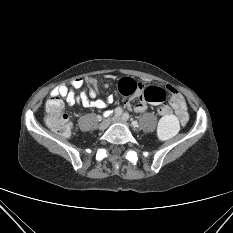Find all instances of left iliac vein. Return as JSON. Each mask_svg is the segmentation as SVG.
<instances>
[{"mask_svg": "<svg viewBox=\"0 0 233 233\" xmlns=\"http://www.w3.org/2000/svg\"><path fill=\"white\" fill-rule=\"evenodd\" d=\"M113 122L115 123H123V124H126V120H124L122 117H114L112 119Z\"/></svg>", "mask_w": 233, "mask_h": 233, "instance_id": "obj_1", "label": "left iliac vein"}]
</instances>
